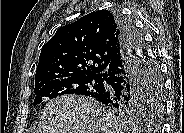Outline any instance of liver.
Wrapping results in <instances>:
<instances>
[{"instance_id":"obj_1","label":"liver","mask_w":184,"mask_h":133,"mask_svg":"<svg viewBox=\"0 0 184 133\" xmlns=\"http://www.w3.org/2000/svg\"><path fill=\"white\" fill-rule=\"evenodd\" d=\"M133 122L117 117L95 99L63 95L49 101L36 133H140Z\"/></svg>"}]
</instances>
